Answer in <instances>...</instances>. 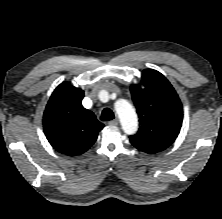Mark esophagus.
Segmentation results:
<instances>
[{"instance_id": "obj_1", "label": "esophagus", "mask_w": 222, "mask_h": 219, "mask_svg": "<svg viewBox=\"0 0 222 219\" xmlns=\"http://www.w3.org/2000/svg\"><path fill=\"white\" fill-rule=\"evenodd\" d=\"M108 124L111 126H116V125H118V119L111 120L108 122Z\"/></svg>"}]
</instances>
